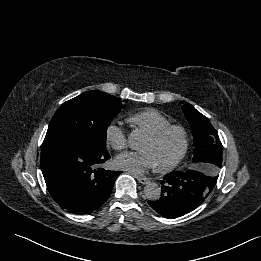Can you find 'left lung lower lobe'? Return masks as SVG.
Masks as SVG:
<instances>
[{"instance_id": "1", "label": "left lung lower lobe", "mask_w": 261, "mask_h": 261, "mask_svg": "<svg viewBox=\"0 0 261 261\" xmlns=\"http://www.w3.org/2000/svg\"><path fill=\"white\" fill-rule=\"evenodd\" d=\"M196 170L173 171L165 175L160 199L149 205L165 218H177L191 212L208 197L216 185V169L209 166H192Z\"/></svg>"}]
</instances>
